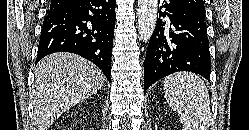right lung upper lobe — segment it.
<instances>
[{"instance_id":"1","label":"right lung upper lobe","mask_w":249,"mask_h":130,"mask_svg":"<svg viewBox=\"0 0 249 130\" xmlns=\"http://www.w3.org/2000/svg\"><path fill=\"white\" fill-rule=\"evenodd\" d=\"M76 1L77 0H51L49 13L61 11Z\"/></svg>"}]
</instances>
